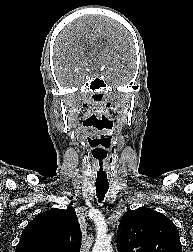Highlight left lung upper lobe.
Returning <instances> with one entry per match:
<instances>
[{"instance_id":"obj_1","label":"left lung upper lobe","mask_w":193,"mask_h":252,"mask_svg":"<svg viewBox=\"0 0 193 252\" xmlns=\"http://www.w3.org/2000/svg\"><path fill=\"white\" fill-rule=\"evenodd\" d=\"M119 252H182L179 232L165 215L140 207L126 212L118 226Z\"/></svg>"}]
</instances>
